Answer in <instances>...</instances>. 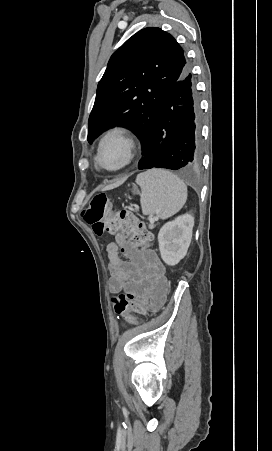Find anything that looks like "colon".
Masks as SVG:
<instances>
[{"instance_id": "5ec220e1", "label": "colon", "mask_w": 272, "mask_h": 451, "mask_svg": "<svg viewBox=\"0 0 272 451\" xmlns=\"http://www.w3.org/2000/svg\"><path fill=\"white\" fill-rule=\"evenodd\" d=\"M111 207L106 193H95L89 199L88 207L83 209L80 215L97 235L110 233L114 239H123V248H128L131 244L147 245L151 234L144 224L137 221L131 211L122 209L111 213ZM110 305L115 307L117 314L128 318L131 312L145 311L141 299L130 292L111 298Z\"/></svg>"}]
</instances>
